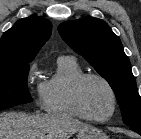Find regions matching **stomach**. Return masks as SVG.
Masks as SVG:
<instances>
[{"mask_svg":"<svg viewBox=\"0 0 141 139\" xmlns=\"http://www.w3.org/2000/svg\"><path fill=\"white\" fill-rule=\"evenodd\" d=\"M77 139H108V137L101 130L89 126L78 131Z\"/></svg>","mask_w":141,"mask_h":139,"instance_id":"obj_1","label":"stomach"}]
</instances>
